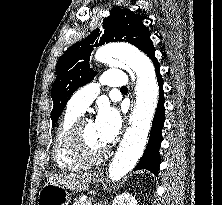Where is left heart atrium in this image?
I'll return each instance as SVG.
<instances>
[{"mask_svg": "<svg viewBox=\"0 0 222 205\" xmlns=\"http://www.w3.org/2000/svg\"><path fill=\"white\" fill-rule=\"evenodd\" d=\"M121 126V119L118 112L110 106L100 107L94 127L100 141L108 145L117 136Z\"/></svg>", "mask_w": 222, "mask_h": 205, "instance_id": "obj_1", "label": "left heart atrium"}]
</instances>
